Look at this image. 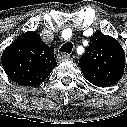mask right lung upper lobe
<instances>
[{"label": "right lung upper lobe", "instance_id": "1", "mask_svg": "<svg viewBox=\"0 0 127 127\" xmlns=\"http://www.w3.org/2000/svg\"><path fill=\"white\" fill-rule=\"evenodd\" d=\"M2 66L14 82L34 86L43 82L57 65L54 49L37 32L21 34L2 54Z\"/></svg>", "mask_w": 127, "mask_h": 127}]
</instances>
